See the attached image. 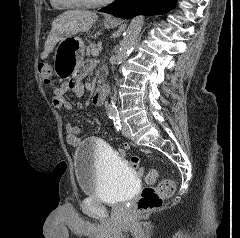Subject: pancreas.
<instances>
[{
    "label": "pancreas",
    "mask_w": 240,
    "mask_h": 238,
    "mask_svg": "<svg viewBox=\"0 0 240 238\" xmlns=\"http://www.w3.org/2000/svg\"><path fill=\"white\" fill-rule=\"evenodd\" d=\"M97 50L96 45L94 43H90V45L87 47V55H94V52Z\"/></svg>",
    "instance_id": "1"
}]
</instances>
